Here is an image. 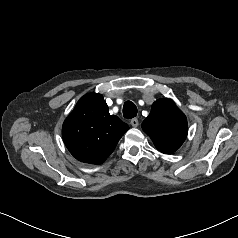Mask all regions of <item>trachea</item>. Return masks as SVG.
<instances>
[{"instance_id":"3493384b","label":"trachea","mask_w":238,"mask_h":238,"mask_svg":"<svg viewBox=\"0 0 238 238\" xmlns=\"http://www.w3.org/2000/svg\"><path fill=\"white\" fill-rule=\"evenodd\" d=\"M137 115V107L131 101H126L123 106V116L127 119L134 118Z\"/></svg>"}]
</instances>
